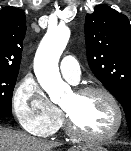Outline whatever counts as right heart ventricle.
<instances>
[{"mask_svg":"<svg viewBox=\"0 0 131 151\" xmlns=\"http://www.w3.org/2000/svg\"><path fill=\"white\" fill-rule=\"evenodd\" d=\"M60 125H61V122H60V124L58 125V127H57V128H59V127H60ZM57 128H56V129H57Z\"/></svg>","mask_w":131,"mask_h":151,"instance_id":"obj_1","label":"right heart ventricle"}]
</instances>
